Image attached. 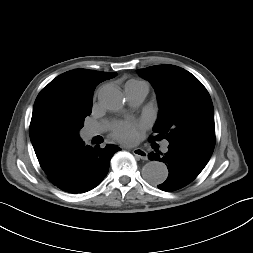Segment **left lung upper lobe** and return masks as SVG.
<instances>
[{
    "mask_svg": "<svg viewBox=\"0 0 253 253\" xmlns=\"http://www.w3.org/2000/svg\"><path fill=\"white\" fill-rule=\"evenodd\" d=\"M138 73L153 85L159 102L155 136L150 140H184L214 148L213 104L194 75L174 65L151 66Z\"/></svg>",
    "mask_w": 253,
    "mask_h": 253,
    "instance_id": "5c2ea615",
    "label": "left lung upper lobe"
}]
</instances>
